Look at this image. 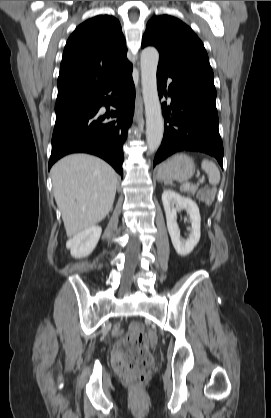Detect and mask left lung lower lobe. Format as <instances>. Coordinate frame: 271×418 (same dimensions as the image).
Listing matches in <instances>:
<instances>
[{
	"instance_id": "left-lung-lower-lobe-1",
	"label": "left lung lower lobe",
	"mask_w": 271,
	"mask_h": 418,
	"mask_svg": "<svg viewBox=\"0 0 271 418\" xmlns=\"http://www.w3.org/2000/svg\"><path fill=\"white\" fill-rule=\"evenodd\" d=\"M170 108L163 104L165 132L156 153L154 166L179 151H199L214 156L223 167V143L218 130L215 105L216 90L204 84L170 75L157 69L158 93L167 96V78Z\"/></svg>"
}]
</instances>
